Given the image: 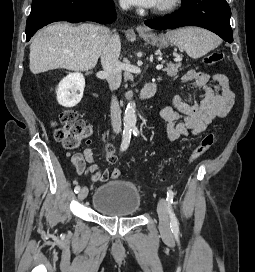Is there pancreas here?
Returning <instances> with one entry per match:
<instances>
[{
  "instance_id": "obj_1",
  "label": "pancreas",
  "mask_w": 255,
  "mask_h": 272,
  "mask_svg": "<svg viewBox=\"0 0 255 272\" xmlns=\"http://www.w3.org/2000/svg\"><path fill=\"white\" fill-rule=\"evenodd\" d=\"M167 67L164 68L162 71L166 72L168 76L174 77L179 72V69L181 67V64H173V63H167Z\"/></svg>"
}]
</instances>
